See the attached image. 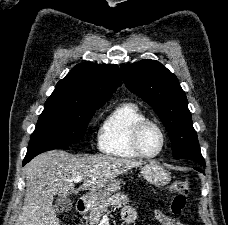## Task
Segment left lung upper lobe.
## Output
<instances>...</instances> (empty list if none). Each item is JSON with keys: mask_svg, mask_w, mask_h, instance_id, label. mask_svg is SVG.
Here are the masks:
<instances>
[{"mask_svg": "<svg viewBox=\"0 0 228 225\" xmlns=\"http://www.w3.org/2000/svg\"><path fill=\"white\" fill-rule=\"evenodd\" d=\"M127 88L147 102L160 117L172 142L173 156L205 166L188 101L177 77L155 60L121 65Z\"/></svg>", "mask_w": 228, "mask_h": 225, "instance_id": "5c2ea615", "label": "left lung upper lobe"}]
</instances>
